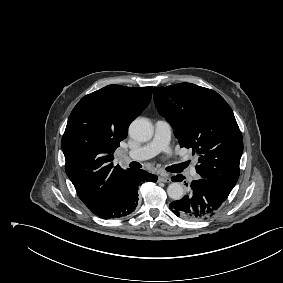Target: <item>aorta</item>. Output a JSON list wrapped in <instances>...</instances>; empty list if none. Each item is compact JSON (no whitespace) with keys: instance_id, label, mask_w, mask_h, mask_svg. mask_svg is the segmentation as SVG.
Instances as JSON below:
<instances>
[{"instance_id":"aorta-1","label":"aorta","mask_w":283,"mask_h":283,"mask_svg":"<svg viewBox=\"0 0 283 283\" xmlns=\"http://www.w3.org/2000/svg\"><path fill=\"white\" fill-rule=\"evenodd\" d=\"M153 132V126L146 118H137L129 126L130 136L140 142L149 141ZM167 193L171 199L180 200L184 195V188L180 183L173 182L168 186Z\"/></svg>"}]
</instances>
